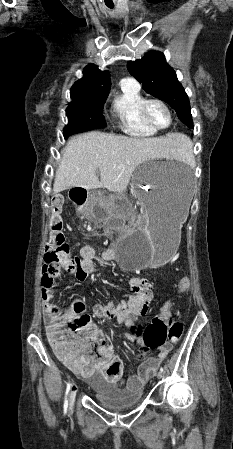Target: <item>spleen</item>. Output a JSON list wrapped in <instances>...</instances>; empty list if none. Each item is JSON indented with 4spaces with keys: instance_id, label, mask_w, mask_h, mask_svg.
<instances>
[{
    "instance_id": "spleen-1",
    "label": "spleen",
    "mask_w": 233,
    "mask_h": 449,
    "mask_svg": "<svg viewBox=\"0 0 233 449\" xmlns=\"http://www.w3.org/2000/svg\"><path fill=\"white\" fill-rule=\"evenodd\" d=\"M189 153H190V143L189 140L185 137V146L180 148V150L177 152V155L182 157L184 155H189Z\"/></svg>"
}]
</instances>
